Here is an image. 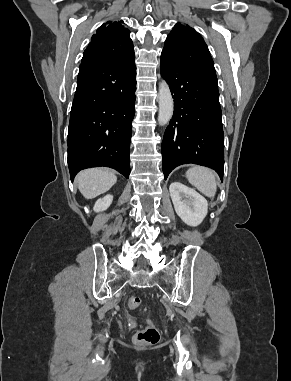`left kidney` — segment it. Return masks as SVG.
<instances>
[{
	"instance_id": "5707ae66",
	"label": "left kidney",
	"mask_w": 291,
	"mask_h": 381,
	"mask_svg": "<svg viewBox=\"0 0 291 381\" xmlns=\"http://www.w3.org/2000/svg\"><path fill=\"white\" fill-rule=\"evenodd\" d=\"M169 191L174 209L182 221L193 227L201 224L208 212L207 200L179 182L171 183Z\"/></svg>"
}]
</instances>
